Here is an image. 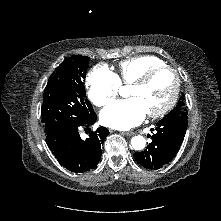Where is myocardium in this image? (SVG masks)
I'll return each mask as SVG.
<instances>
[{"label": "myocardium", "instance_id": "1", "mask_svg": "<svg viewBox=\"0 0 221 221\" xmlns=\"http://www.w3.org/2000/svg\"><path fill=\"white\" fill-rule=\"evenodd\" d=\"M162 71H169L173 74L174 88H173V91H172V94H171L169 100L162 108H160L157 111L147 113L148 116L151 118H159V117L166 115L176 104L178 97H179L180 88H181V79H180V75H179L178 71L169 65H160V66L153 67V68L147 70L143 75H141L138 79H136L131 84V86H134V87L145 86L146 84H148L151 81V79L155 75H157L158 73H160Z\"/></svg>", "mask_w": 221, "mask_h": 221}]
</instances>
